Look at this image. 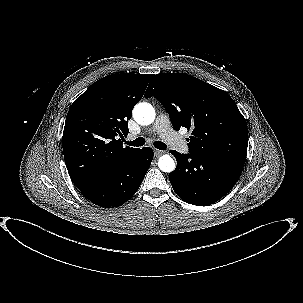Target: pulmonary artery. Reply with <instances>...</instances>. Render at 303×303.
<instances>
[{
	"mask_svg": "<svg viewBox=\"0 0 303 303\" xmlns=\"http://www.w3.org/2000/svg\"><path fill=\"white\" fill-rule=\"evenodd\" d=\"M152 132L158 133L166 143L180 153L186 154L189 151L185 141L172 129L169 119L166 115H159L152 127ZM134 138L129 136V140Z\"/></svg>",
	"mask_w": 303,
	"mask_h": 303,
	"instance_id": "e3ab8cb5",
	"label": "pulmonary artery"
}]
</instances>
